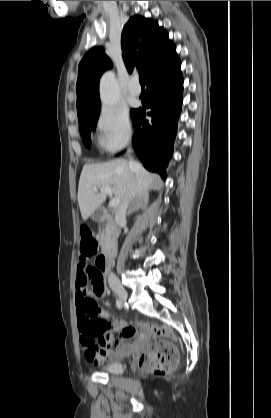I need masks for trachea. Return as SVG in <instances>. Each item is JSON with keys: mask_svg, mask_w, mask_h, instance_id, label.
<instances>
[{"mask_svg": "<svg viewBox=\"0 0 271 418\" xmlns=\"http://www.w3.org/2000/svg\"><path fill=\"white\" fill-rule=\"evenodd\" d=\"M139 82H140L141 86H144V80H143L142 76L139 77Z\"/></svg>", "mask_w": 271, "mask_h": 418, "instance_id": "obj_1", "label": "trachea"}]
</instances>
